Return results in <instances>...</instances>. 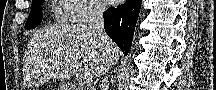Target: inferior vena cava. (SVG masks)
<instances>
[{
  "instance_id": "obj_1",
  "label": "inferior vena cava",
  "mask_w": 216,
  "mask_h": 90,
  "mask_svg": "<svg viewBox=\"0 0 216 90\" xmlns=\"http://www.w3.org/2000/svg\"><path fill=\"white\" fill-rule=\"evenodd\" d=\"M90 18L87 22V30L98 36L99 44L101 46V62L102 66H99L95 72V76H103L101 84H99L100 90H109V78L108 70H110L112 64L111 50H110V38L105 32V24L103 14L106 12V6L104 4H92L88 8Z\"/></svg>"
}]
</instances>
